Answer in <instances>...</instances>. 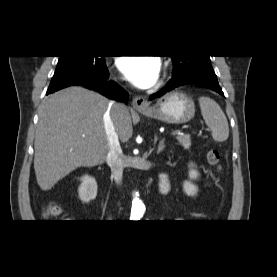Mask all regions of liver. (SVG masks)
Segmentation results:
<instances>
[{
	"label": "liver",
	"instance_id": "obj_1",
	"mask_svg": "<svg viewBox=\"0 0 277 277\" xmlns=\"http://www.w3.org/2000/svg\"><path fill=\"white\" fill-rule=\"evenodd\" d=\"M108 105V99L83 87L55 92L41 104L34 170L43 191L50 190L78 167L104 163L108 143L103 117ZM113 123L120 140L127 142L133 128L126 107L120 113L113 112Z\"/></svg>",
	"mask_w": 277,
	"mask_h": 277
}]
</instances>
